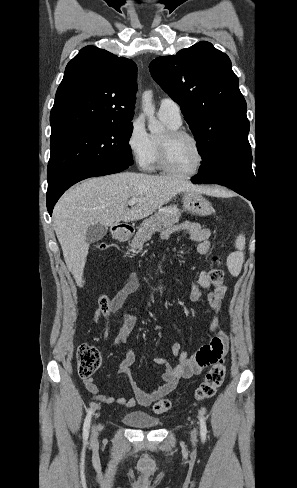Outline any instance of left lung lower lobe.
<instances>
[{
  "label": "left lung lower lobe",
  "instance_id": "left-lung-lower-lobe-1",
  "mask_svg": "<svg viewBox=\"0 0 297 488\" xmlns=\"http://www.w3.org/2000/svg\"><path fill=\"white\" fill-rule=\"evenodd\" d=\"M193 183L198 184H220L226 186L233 191L237 192L238 194L244 196L252 203L255 202V188L251 187L241 181L231 179V178H218V179H211V180H200L197 176L192 177Z\"/></svg>",
  "mask_w": 297,
  "mask_h": 488
}]
</instances>
